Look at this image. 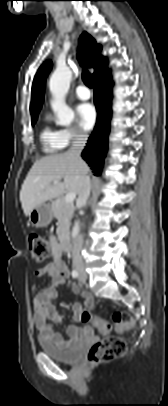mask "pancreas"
Masks as SVG:
<instances>
[{"label": "pancreas", "mask_w": 168, "mask_h": 406, "mask_svg": "<svg viewBox=\"0 0 168 406\" xmlns=\"http://www.w3.org/2000/svg\"><path fill=\"white\" fill-rule=\"evenodd\" d=\"M54 217L58 220L57 235L60 240L69 233L70 221L74 212V205L66 203L63 198H58L52 203Z\"/></svg>", "instance_id": "obj_1"}]
</instances>
